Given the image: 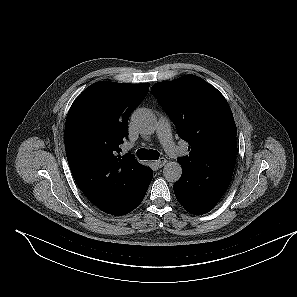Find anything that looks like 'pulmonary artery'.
<instances>
[{
    "mask_svg": "<svg viewBox=\"0 0 297 297\" xmlns=\"http://www.w3.org/2000/svg\"><path fill=\"white\" fill-rule=\"evenodd\" d=\"M156 131L161 144L170 155L179 156L182 154V149L172 140L170 124L165 117L159 118Z\"/></svg>",
    "mask_w": 297,
    "mask_h": 297,
    "instance_id": "e3ab8cb5",
    "label": "pulmonary artery"
}]
</instances>
